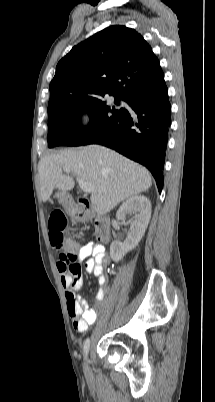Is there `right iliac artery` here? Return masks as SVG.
<instances>
[{
  "label": "right iliac artery",
  "instance_id": "right-iliac-artery-1",
  "mask_svg": "<svg viewBox=\"0 0 215 402\" xmlns=\"http://www.w3.org/2000/svg\"><path fill=\"white\" fill-rule=\"evenodd\" d=\"M89 346H90V339L87 338L84 342V354L85 357H87L88 351H89Z\"/></svg>",
  "mask_w": 215,
  "mask_h": 402
}]
</instances>
